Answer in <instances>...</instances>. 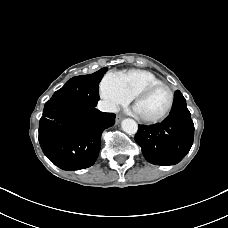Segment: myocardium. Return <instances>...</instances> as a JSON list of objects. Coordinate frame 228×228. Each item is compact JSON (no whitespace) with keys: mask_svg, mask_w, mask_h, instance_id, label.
<instances>
[{"mask_svg":"<svg viewBox=\"0 0 228 228\" xmlns=\"http://www.w3.org/2000/svg\"><path fill=\"white\" fill-rule=\"evenodd\" d=\"M161 87L166 88L170 93V102H169L168 107L162 114H160L159 116H156V117H152V118L143 117L137 113L139 119L142 122L147 123V124L159 123V122L163 121L172 111L174 103H175V93H174L173 89L165 83L149 84V85L143 87L141 90H139L133 97L134 108L136 110V105L141 99L145 98L153 90H155L157 88H161Z\"/></svg>","mask_w":228,"mask_h":228,"instance_id":"f54148a6","label":"myocardium"}]
</instances>
